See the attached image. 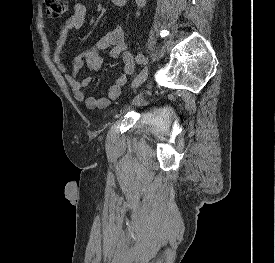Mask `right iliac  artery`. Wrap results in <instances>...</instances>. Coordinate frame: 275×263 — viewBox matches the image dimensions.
<instances>
[{"label":"right iliac artery","instance_id":"right-iliac-artery-1","mask_svg":"<svg viewBox=\"0 0 275 263\" xmlns=\"http://www.w3.org/2000/svg\"><path fill=\"white\" fill-rule=\"evenodd\" d=\"M136 62H137L138 64L144 63V62H145V57H144V55L141 54V53L137 54V56H136Z\"/></svg>","mask_w":275,"mask_h":263}]
</instances>
